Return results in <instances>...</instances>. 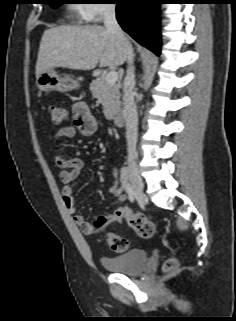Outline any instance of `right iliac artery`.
<instances>
[{
  "mask_svg": "<svg viewBox=\"0 0 236 321\" xmlns=\"http://www.w3.org/2000/svg\"><path fill=\"white\" fill-rule=\"evenodd\" d=\"M127 169H129V168H127ZM127 181H128V179H127ZM127 183H128V191H127L128 197H129V200H130L131 202H133V201H134V198H135V193H134V191H133L130 183H129V182H127Z\"/></svg>",
  "mask_w": 236,
  "mask_h": 321,
  "instance_id": "obj_1",
  "label": "right iliac artery"
}]
</instances>
